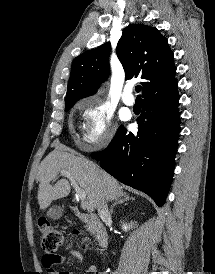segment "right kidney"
Instances as JSON below:
<instances>
[{"instance_id":"obj_1","label":"right kidney","mask_w":215,"mask_h":274,"mask_svg":"<svg viewBox=\"0 0 215 274\" xmlns=\"http://www.w3.org/2000/svg\"><path fill=\"white\" fill-rule=\"evenodd\" d=\"M132 226H133L132 223L131 224L123 223L122 229H123V231L127 232L128 230H130L132 228Z\"/></svg>"}]
</instances>
